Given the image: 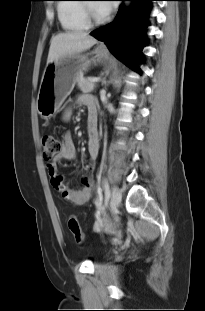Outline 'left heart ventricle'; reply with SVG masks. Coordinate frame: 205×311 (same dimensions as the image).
Segmentation results:
<instances>
[{
  "instance_id": "obj_1",
  "label": "left heart ventricle",
  "mask_w": 205,
  "mask_h": 311,
  "mask_svg": "<svg viewBox=\"0 0 205 311\" xmlns=\"http://www.w3.org/2000/svg\"><path fill=\"white\" fill-rule=\"evenodd\" d=\"M92 5V7H93V9H94V12L96 13V15H98V16H101V14L98 12V10H97V6H96V4H91Z\"/></svg>"
}]
</instances>
